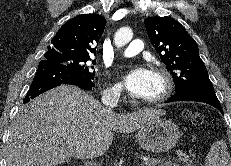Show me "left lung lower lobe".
<instances>
[{"label":"left lung lower lobe","instance_id":"left-lung-lower-lobe-1","mask_svg":"<svg viewBox=\"0 0 231 166\" xmlns=\"http://www.w3.org/2000/svg\"><path fill=\"white\" fill-rule=\"evenodd\" d=\"M175 101L203 102L217 108L221 113H223L220 102L214 92V89L189 88L176 93L166 102H175Z\"/></svg>","mask_w":231,"mask_h":166}]
</instances>
